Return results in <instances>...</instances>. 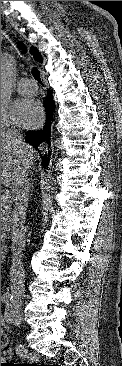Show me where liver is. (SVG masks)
I'll return each mask as SVG.
<instances>
[{
  "label": "liver",
  "mask_w": 122,
  "mask_h": 366,
  "mask_svg": "<svg viewBox=\"0 0 122 366\" xmlns=\"http://www.w3.org/2000/svg\"><path fill=\"white\" fill-rule=\"evenodd\" d=\"M9 142L6 132L1 131V184L13 188L23 175L26 155L20 148ZM28 152L31 153L32 158L28 169L30 172L37 153L30 145Z\"/></svg>",
  "instance_id": "liver-1"
}]
</instances>
